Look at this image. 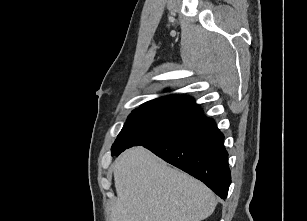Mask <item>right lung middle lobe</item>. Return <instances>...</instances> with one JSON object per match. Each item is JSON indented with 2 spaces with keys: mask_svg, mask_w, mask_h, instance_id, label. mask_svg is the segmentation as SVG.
Returning <instances> with one entry per match:
<instances>
[{
  "mask_svg": "<svg viewBox=\"0 0 307 221\" xmlns=\"http://www.w3.org/2000/svg\"><path fill=\"white\" fill-rule=\"evenodd\" d=\"M205 117L196 106L172 102H146L135 109L112 145V155L137 145L165 140L196 125Z\"/></svg>",
  "mask_w": 307,
  "mask_h": 221,
  "instance_id": "1",
  "label": "right lung middle lobe"
}]
</instances>
